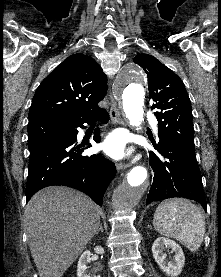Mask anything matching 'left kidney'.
I'll return each mask as SVG.
<instances>
[{"label": "left kidney", "mask_w": 221, "mask_h": 277, "mask_svg": "<svg viewBox=\"0 0 221 277\" xmlns=\"http://www.w3.org/2000/svg\"><path fill=\"white\" fill-rule=\"evenodd\" d=\"M165 249H171L175 253L172 260L166 259ZM153 258L163 272L168 276L177 277L184 267L185 256L179 244L165 237H158L152 245Z\"/></svg>", "instance_id": "left-kidney-1"}]
</instances>
